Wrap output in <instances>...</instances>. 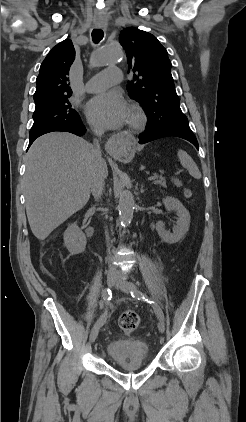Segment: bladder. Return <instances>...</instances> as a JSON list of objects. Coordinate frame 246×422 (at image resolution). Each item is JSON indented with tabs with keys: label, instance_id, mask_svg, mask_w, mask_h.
<instances>
[{
	"label": "bladder",
	"instance_id": "1",
	"mask_svg": "<svg viewBox=\"0 0 246 422\" xmlns=\"http://www.w3.org/2000/svg\"><path fill=\"white\" fill-rule=\"evenodd\" d=\"M108 358L119 366L144 364L148 361V348L135 339H114L106 346Z\"/></svg>",
	"mask_w": 246,
	"mask_h": 422
}]
</instances>
